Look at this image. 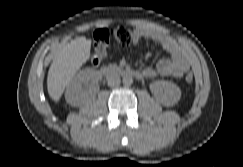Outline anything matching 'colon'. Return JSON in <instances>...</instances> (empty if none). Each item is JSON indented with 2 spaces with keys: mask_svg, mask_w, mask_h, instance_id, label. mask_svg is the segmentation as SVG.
<instances>
[{
  "mask_svg": "<svg viewBox=\"0 0 243 167\" xmlns=\"http://www.w3.org/2000/svg\"><path fill=\"white\" fill-rule=\"evenodd\" d=\"M114 38L115 41L123 47L129 46L132 41V31L125 26H118L116 28L100 27L94 33V52L91 57V62L94 66L99 65L106 57L110 39ZM186 82L193 81V74L187 73L185 76Z\"/></svg>",
  "mask_w": 243,
  "mask_h": 167,
  "instance_id": "colon-1",
  "label": "colon"
}]
</instances>
